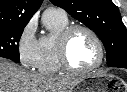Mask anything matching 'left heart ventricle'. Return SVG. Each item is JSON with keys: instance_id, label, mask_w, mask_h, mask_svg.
I'll list each match as a JSON object with an SVG mask.
<instances>
[{"instance_id": "obj_1", "label": "left heart ventricle", "mask_w": 127, "mask_h": 92, "mask_svg": "<svg viewBox=\"0 0 127 92\" xmlns=\"http://www.w3.org/2000/svg\"><path fill=\"white\" fill-rule=\"evenodd\" d=\"M98 48L93 38L84 31L76 32L69 45V58L74 67L88 68L98 60Z\"/></svg>"}]
</instances>
